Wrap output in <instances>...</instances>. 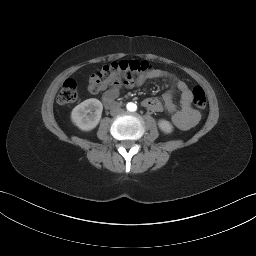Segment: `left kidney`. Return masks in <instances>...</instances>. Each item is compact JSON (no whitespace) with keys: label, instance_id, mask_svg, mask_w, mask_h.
<instances>
[{"label":"left kidney","instance_id":"left-kidney-1","mask_svg":"<svg viewBox=\"0 0 256 256\" xmlns=\"http://www.w3.org/2000/svg\"><path fill=\"white\" fill-rule=\"evenodd\" d=\"M158 126L160 128L161 131H163L166 134H169L173 131V126L172 124L165 120V119H161L158 121Z\"/></svg>","mask_w":256,"mask_h":256}]
</instances>
